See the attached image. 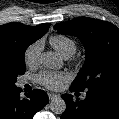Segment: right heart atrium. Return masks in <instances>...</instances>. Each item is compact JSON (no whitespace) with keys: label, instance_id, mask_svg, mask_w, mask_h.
Instances as JSON below:
<instances>
[{"label":"right heart atrium","instance_id":"right-heart-atrium-1","mask_svg":"<svg viewBox=\"0 0 119 119\" xmlns=\"http://www.w3.org/2000/svg\"><path fill=\"white\" fill-rule=\"evenodd\" d=\"M42 51V43L35 41L30 44L24 52V62L28 67H35L38 62Z\"/></svg>","mask_w":119,"mask_h":119}]
</instances>
